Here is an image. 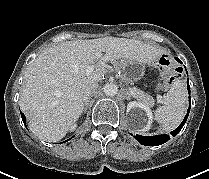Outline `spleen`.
Here are the masks:
<instances>
[{"instance_id": "3e777b00", "label": "spleen", "mask_w": 209, "mask_h": 179, "mask_svg": "<svg viewBox=\"0 0 209 179\" xmlns=\"http://www.w3.org/2000/svg\"><path fill=\"white\" fill-rule=\"evenodd\" d=\"M188 94L186 85L181 80L172 83L168 93L163 96V105L154 112L155 120L162 125L164 131H172L184 118Z\"/></svg>"}]
</instances>
